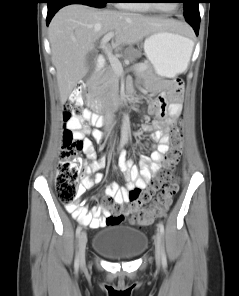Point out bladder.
I'll list each match as a JSON object with an SVG mask.
<instances>
[{
    "instance_id": "1",
    "label": "bladder",
    "mask_w": 239,
    "mask_h": 296,
    "mask_svg": "<svg viewBox=\"0 0 239 296\" xmlns=\"http://www.w3.org/2000/svg\"><path fill=\"white\" fill-rule=\"evenodd\" d=\"M146 234L127 225H114L97 232L93 250L110 261H131L146 249Z\"/></svg>"
}]
</instances>
